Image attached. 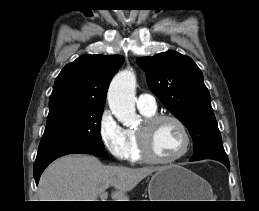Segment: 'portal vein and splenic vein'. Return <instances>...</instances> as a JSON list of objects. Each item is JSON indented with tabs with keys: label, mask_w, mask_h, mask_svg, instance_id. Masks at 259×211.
Returning a JSON list of instances; mask_svg holds the SVG:
<instances>
[{
	"label": "portal vein and splenic vein",
	"mask_w": 259,
	"mask_h": 211,
	"mask_svg": "<svg viewBox=\"0 0 259 211\" xmlns=\"http://www.w3.org/2000/svg\"><path fill=\"white\" fill-rule=\"evenodd\" d=\"M100 199H101L100 201H106V199H107V193H106V192L101 193Z\"/></svg>",
	"instance_id": "1"
}]
</instances>
